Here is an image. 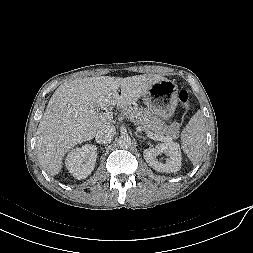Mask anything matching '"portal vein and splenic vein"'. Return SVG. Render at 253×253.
<instances>
[{
	"label": "portal vein and splenic vein",
	"instance_id": "portal-vein-and-splenic-vein-1",
	"mask_svg": "<svg viewBox=\"0 0 253 253\" xmlns=\"http://www.w3.org/2000/svg\"><path fill=\"white\" fill-rule=\"evenodd\" d=\"M101 120H107V121H111L113 118V114L109 111H106L105 113H103L101 116ZM147 136L153 140H158V141H170L171 138L169 136H157L155 134H153L152 132H146Z\"/></svg>",
	"mask_w": 253,
	"mask_h": 253
}]
</instances>
